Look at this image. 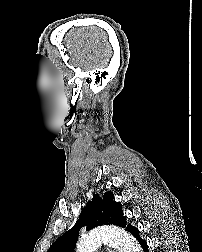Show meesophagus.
Masks as SVG:
<instances>
[{"instance_id":"obj_1","label":"esophagus","mask_w":202,"mask_h":252,"mask_svg":"<svg viewBox=\"0 0 202 252\" xmlns=\"http://www.w3.org/2000/svg\"><path fill=\"white\" fill-rule=\"evenodd\" d=\"M107 252H112L110 249H107Z\"/></svg>"}]
</instances>
